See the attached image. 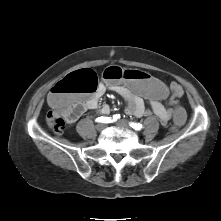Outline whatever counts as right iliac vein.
Listing matches in <instances>:
<instances>
[{
    "label": "right iliac vein",
    "instance_id": "63e3f726",
    "mask_svg": "<svg viewBox=\"0 0 221 221\" xmlns=\"http://www.w3.org/2000/svg\"><path fill=\"white\" fill-rule=\"evenodd\" d=\"M98 131H103L106 128V124L105 123H100L96 126Z\"/></svg>",
    "mask_w": 221,
    "mask_h": 221
}]
</instances>
